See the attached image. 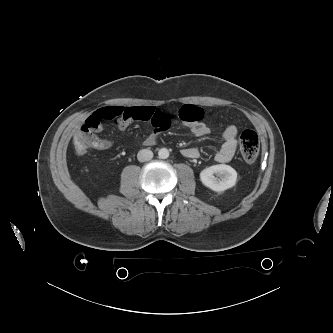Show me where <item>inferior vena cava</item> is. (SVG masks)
I'll list each match as a JSON object with an SVG mask.
<instances>
[{
	"instance_id": "inferior-vena-cava-1",
	"label": "inferior vena cava",
	"mask_w": 333,
	"mask_h": 333,
	"mask_svg": "<svg viewBox=\"0 0 333 333\" xmlns=\"http://www.w3.org/2000/svg\"><path fill=\"white\" fill-rule=\"evenodd\" d=\"M153 158V152L149 149H142L137 154V159L140 162H146Z\"/></svg>"
}]
</instances>
